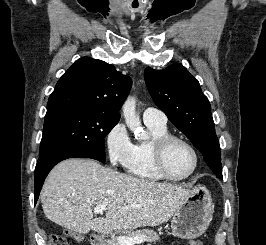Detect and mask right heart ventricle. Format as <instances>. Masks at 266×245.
<instances>
[{
  "label": "right heart ventricle",
  "mask_w": 266,
  "mask_h": 245,
  "mask_svg": "<svg viewBox=\"0 0 266 245\" xmlns=\"http://www.w3.org/2000/svg\"><path fill=\"white\" fill-rule=\"evenodd\" d=\"M145 124L151 132V138L135 144L133 158L129 166V173L136 179L154 184L164 181V178L155 168L152 157V144L157 138L169 134V130L167 124L156 122Z\"/></svg>",
  "instance_id": "obj_1"
}]
</instances>
